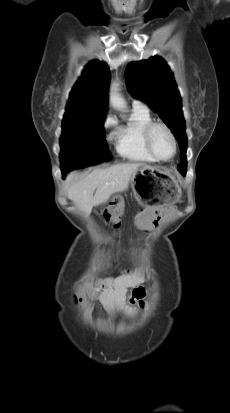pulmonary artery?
Instances as JSON below:
<instances>
[{"label": "pulmonary artery", "instance_id": "e3ab8cb5", "mask_svg": "<svg viewBox=\"0 0 230 413\" xmlns=\"http://www.w3.org/2000/svg\"><path fill=\"white\" fill-rule=\"evenodd\" d=\"M133 106L145 107V108H146V106H145L142 102H140V101H134V102H133Z\"/></svg>", "mask_w": 230, "mask_h": 413}]
</instances>
